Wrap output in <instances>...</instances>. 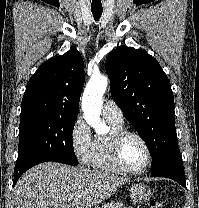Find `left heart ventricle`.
<instances>
[{
	"label": "left heart ventricle",
	"instance_id": "b2bd125f",
	"mask_svg": "<svg viewBox=\"0 0 199 208\" xmlns=\"http://www.w3.org/2000/svg\"><path fill=\"white\" fill-rule=\"evenodd\" d=\"M121 154L125 165L131 169L140 168L147 159L143 144L137 138L131 136L123 142Z\"/></svg>",
	"mask_w": 199,
	"mask_h": 208
}]
</instances>
